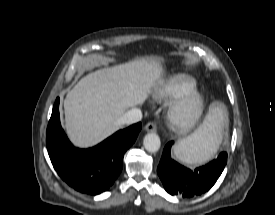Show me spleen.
Wrapping results in <instances>:
<instances>
[{
    "label": "spleen",
    "instance_id": "spleen-1",
    "mask_svg": "<svg viewBox=\"0 0 275 215\" xmlns=\"http://www.w3.org/2000/svg\"><path fill=\"white\" fill-rule=\"evenodd\" d=\"M226 114L219 107H212L201 126L174 147L175 156L186 164H200L210 160L217 152L222 139Z\"/></svg>",
    "mask_w": 275,
    "mask_h": 215
}]
</instances>
